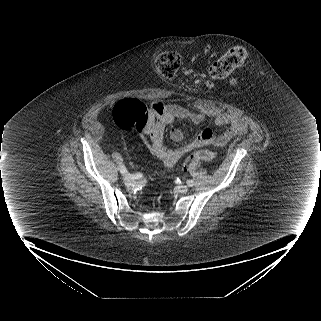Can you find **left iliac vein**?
Returning <instances> with one entry per match:
<instances>
[{
    "mask_svg": "<svg viewBox=\"0 0 321 321\" xmlns=\"http://www.w3.org/2000/svg\"><path fill=\"white\" fill-rule=\"evenodd\" d=\"M176 190L178 193L180 194H185L187 193L188 191V186L187 185H184V184H180L176 187Z\"/></svg>",
    "mask_w": 321,
    "mask_h": 321,
    "instance_id": "left-iliac-vein-1",
    "label": "left iliac vein"
}]
</instances>
